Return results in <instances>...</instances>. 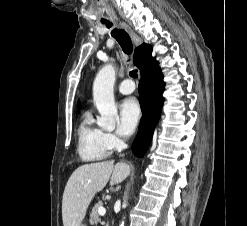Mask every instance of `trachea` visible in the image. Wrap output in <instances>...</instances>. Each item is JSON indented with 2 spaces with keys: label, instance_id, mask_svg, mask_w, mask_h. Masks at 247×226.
<instances>
[{
  "label": "trachea",
  "instance_id": "trachea-1",
  "mask_svg": "<svg viewBox=\"0 0 247 226\" xmlns=\"http://www.w3.org/2000/svg\"><path fill=\"white\" fill-rule=\"evenodd\" d=\"M105 25L107 28H111L113 26V24L110 22L105 23ZM111 34L117 40V42L120 44V46H121V48L125 54L129 55L132 53V51H133L132 41L130 39L129 34L125 30L113 29ZM129 74L132 78L138 77L137 70H132Z\"/></svg>",
  "mask_w": 247,
  "mask_h": 226
}]
</instances>
